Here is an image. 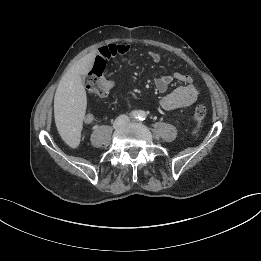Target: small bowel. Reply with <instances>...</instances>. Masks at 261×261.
<instances>
[{"instance_id":"c3829d8e","label":"small bowel","mask_w":261,"mask_h":261,"mask_svg":"<svg viewBox=\"0 0 261 261\" xmlns=\"http://www.w3.org/2000/svg\"><path fill=\"white\" fill-rule=\"evenodd\" d=\"M130 51V46L126 43H110L102 46L99 49L96 61H102L106 64V61L116 57L126 55ZM149 58L155 64L161 62V56L155 51L148 53ZM110 88V92L113 89V82L106 80ZM173 81H179L181 85L174 90L167 92L170 84ZM156 89L159 93L164 94L160 100V105L164 110H175L179 108H185L191 106L199 97L198 89L193 85L192 78L189 75L183 73L166 74L156 77L154 80ZM94 116L90 113L86 114L83 118V122L87 125L93 123Z\"/></svg>"}]
</instances>
